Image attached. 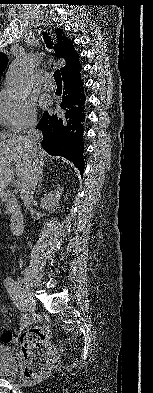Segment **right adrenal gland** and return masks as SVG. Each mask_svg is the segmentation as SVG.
I'll return each instance as SVG.
<instances>
[{
  "label": "right adrenal gland",
  "mask_w": 153,
  "mask_h": 393,
  "mask_svg": "<svg viewBox=\"0 0 153 393\" xmlns=\"http://www.w3.org/2000/svg\"><path fill=\"white\" fill-rule=\"evenodd\" d=\"M41 182H42V176H41V178H40V180H39V184H38V189H37V193H39L40 192V189H41Z\"/></svg>",
  "instance_id": "2a0ac1e0"
}]
</instances>
